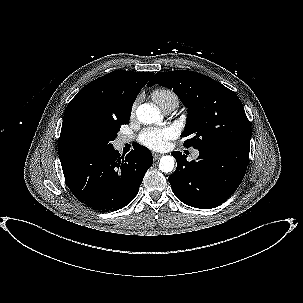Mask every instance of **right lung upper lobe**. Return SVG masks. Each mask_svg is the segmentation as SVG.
I'll return each mask as SVG.
<instances>
[{
    "instance_id": "right-lung-upper-lobe-1",
    "label": "right lung upper lobe",
    "mask_w": 303,
    "mask_h": 303,
    "mask_svg": "<svg viewBox=\"0 0 303 303\" xmlns=\"http://www.w3.org/2000/svg\"><path fill=\"white\" fill-rule=\"evenodd\" d=\"M153 75V72L118 70L84 86L69 102L64 113L58 142L60 161L77 156L64 144L65 131L72 116L89 111L106 121L127 124L137 94Z\"/></svg>"
}]
</instances>
